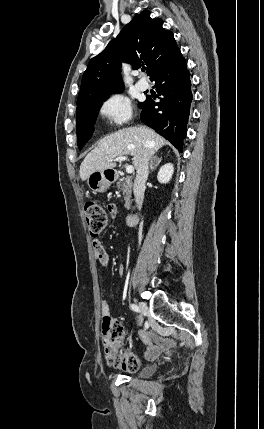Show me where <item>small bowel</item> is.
Wrapping results in <instances>:
<instances>
[{
  "instance_id": "small-bowel-1",
  "label": "small bowel",
  "mask_w": 264,
  "mask_h": 429,
  "mask_svg": "<svg viewBox=\"0 0 264 429\" xmlns=\"http://www.w3.org/2000/svg\"><path fill=\"white\" fill-rule=\"evenodd\" d=\"M112 214L113 216L116 214V209L114 207L112 208ZM93 250L97 260L100 262L101 265L103 266L109 265L110 255L98 239H95L93 241ZM119 274L120 275L123 274V268H120ZM107 310H108L107 304L103 303L102 304L103 313H106ZM141 339L146 345L145 357L151 360L156 359L163 351L170 350L174 346V342L172 340L162 338L152 332H146V331L141 332ZM129 355L130 354H127L120 359V363L118 366L123 370H126L125 359Z\"/></svg>"
}]
</instances>
